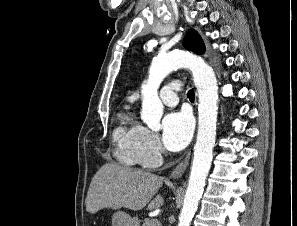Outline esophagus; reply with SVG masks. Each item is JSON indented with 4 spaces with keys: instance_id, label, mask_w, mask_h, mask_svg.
<instances>
[{
    "instance_id": "esophagus-1",
    "label": "esophagus",
    "mask_w": 297,
    "mask_h": 226,
    "mask_svg": "<svg viewBox=\"0 0 297 226\" xmlns=\"http://www.w3.org/2000/svg\"><path fill=\"white\" fill-rule=\"evenodd\" d=\"M190 155H191V152H188L185 158L174 168V170L170 174V179L180 178L184 174L189 164Z\"/></svg>"
}]
</instances>
